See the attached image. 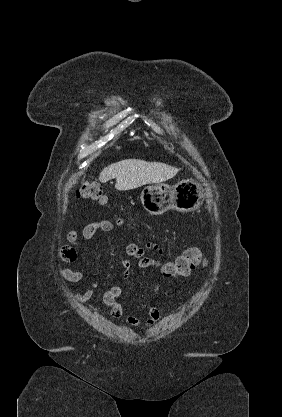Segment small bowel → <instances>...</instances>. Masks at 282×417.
Listing matches in <instances>:
<instances>
[{
    "instance_id": "c3829d8e",
    "label": "small bowel",
    "mask_w": 282,
    "mask_h": 417,
    "mask_svg": "<svg viewBox=\"0 0 282 417\" xmlns=\"http://www.w3.org/2000/svg\"><path fill=\"white\" fill-rule=\"evenodd\" d=\"M115 229V225L110 220H97L88 223L82 230V237L86 240H93L98 232H112ZM79 239V234L75 229H72L67 234V240L72 244L77 246ZM148 249H152L158 251L159 253L163 254L162 249H160L155 244H148L146 246ZM131 258H135L138 260V268L141 270L155 268L159 269L162 267V263L158 260L150 257L144 256V250L136 244H130L127 247L125 254L119 255L120 263L123 267V271L121 273L122 280H128L131 275ZM58 275L71 283L80 282L84 278V272L81 270H72L69 268H61L58 270ZM97 288V283L93 282L91 287H89L84 292H78L74 294V299L77 302L85 303L89 301ZM154 293L160 292V285L157 283L154 286ZM121 296V288L118 285L112 286L109 290H107L103 296V301L105 305L110 309L111 314L119 318L123 315V307L119 302V298ZM145 310L148 313V318L141 322L138 318L134 316H127V322L135 327L143 326L144 328H151L156 324V322L161 318L162 313L161 310L155 306L151 305H144Z\"/></svg>"
}]
</instances>
